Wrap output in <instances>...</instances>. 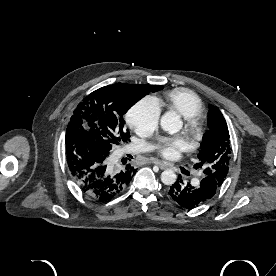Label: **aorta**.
<instances>
[{"mask_svg":"<svg viewBox=\"0 0 276 276\" xmlns=\"http://www.w3.org/2000/svg\"><path fill=\"white\" fill-rule=\"evenodd\" d=\"M182 121L180 116L174 111H168L164 113L160 119L161 128L170 133L175 134L182 128ZM177 175L173 170L167 169L161 173V181L168 186L173 185L176 182Z\"/></svg>","mask_w":276,"mask_h":276,"instance_id":"1","label":"aorta"}]
</instances>
